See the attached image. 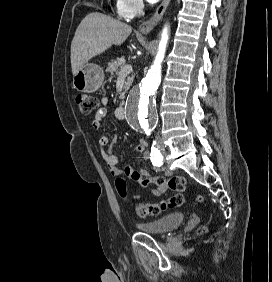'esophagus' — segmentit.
<instances>
[{"instance_id": "1", "label": "esophagus", "mask_w": 272, "mask_h": 282, "mask_svg": "<svg viewBox=\"0 0 272 282\" xmlns=\"http://www.w3.org/2000/svg\"><path fill=\"white\" fill-rule=\"evenodd\" d=\"M170 0H163L161 2V4L158 6V8L156 9L155 13L153 14V16L140 24L139 26V30L141 33L143 34H148L152 31V29L160 22V20L163 17V14L167 8V6L169 5Z\"/></svg>"}]
</instances>
